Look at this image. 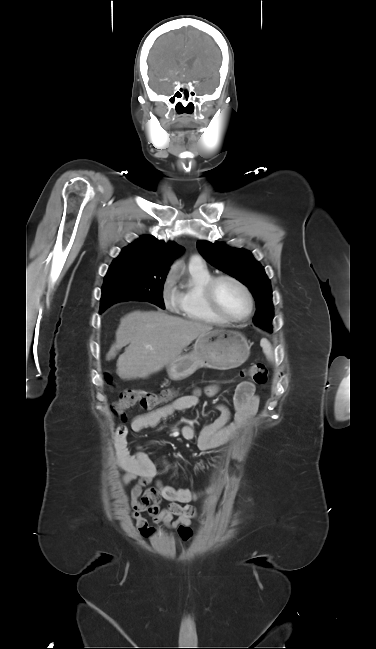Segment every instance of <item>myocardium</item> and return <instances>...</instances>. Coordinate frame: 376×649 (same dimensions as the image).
<instances>
[{
  "mask_svg": "<svg viewBox=\"0 0 376 649\" xmlns=\"http://www.w3.org/2000/svg\"><path fill=\"white\" fill-rule=\"evenodd\" d=\"M231 281L235 283L245 294L247 301H248V311L247 313L241 317V318H234L228 315L224 309L222 308L221 304L219 303L218 297H217V286L220 282L222 281ZM205 298L211 307V309L218 314L221 318H223L225 321L230 322V323H240V322H245L247 321L250 316L252 315L253 309H254V299L253 295L248 288V286L241 281L239 278L230 275V274H221L218 276L212 277L206 284L205 286Z\"/></svg>",
  "mask_w": 376,
  "mask_h": 649,
  "instance_id": "obj_1",
  "label": "myocardium"
}]
</instances>
